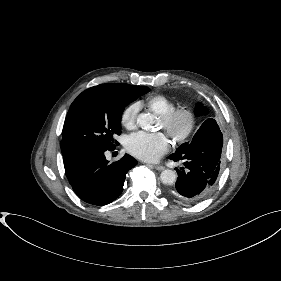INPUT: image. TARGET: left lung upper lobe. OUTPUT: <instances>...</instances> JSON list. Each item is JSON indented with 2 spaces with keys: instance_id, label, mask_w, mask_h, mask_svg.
I'll return each instance as SVG.
<instances>
[{
  "instance_id": "5c2ea615",
  "label": "left lung upper lobe",
  "mask_w": 281,
  "mask_h": 281,
  "mask_svg": "<svg viewBox=\"0 0 281 281\" xmlns=\"http://www.w3.org/2000/svg\"><path fill=\"white\" fill-rule=\"evenodd\" d=\"M196 114H197V116L206 115V114H208V110L203 105L197 104V106H196ZM187 143L188 142L183 143L182 145H180L177 148V150L175 151V153H173V154H180V153H182L184 148H185V146L187 145Z\"/></svg>"
}]
</instances>
